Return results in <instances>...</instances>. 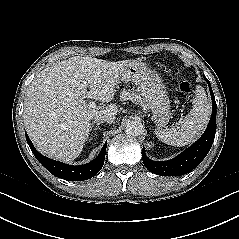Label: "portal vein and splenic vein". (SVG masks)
I'll return each mask as SVG.
<instances>
[{"label": "portal vein and splenic vein", "mask_w": 239, "mask_h": 239, "mask_svg": "<svg viewBox=\"0 0 239 239\" xmlns=\"http://www.w3.org/2000/svg\"><path fill=\"white\" fill-rule=\"evenodd\" d=\"M84 84H86V83H84ZM88 105H89L90 108L96 109V104H95V102H90Z\"/></svg>", "instance_id": "18ae733b"}]
</instances>
